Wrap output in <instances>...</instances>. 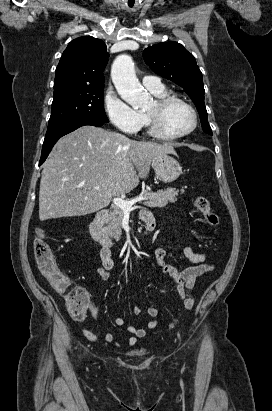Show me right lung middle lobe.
Returning <instances> with one entry per match:
<instances>
[{"instance_id":"dd1d6c3e","label":"right lung middle lobe","mask_w":272,"mask_h":411,"mask_svg":"<svg viewBox=\"0 0 272 411\" xmlns=\"http://www.w3.org/2000/svg\"><path fill=\"white\" fill-rule=\"evenodd\" d=\"M104 85L71 88L54 93L46 134L80 121L109 122L104 111Z\"/></svg>"}]
</instances>
